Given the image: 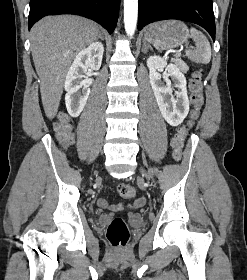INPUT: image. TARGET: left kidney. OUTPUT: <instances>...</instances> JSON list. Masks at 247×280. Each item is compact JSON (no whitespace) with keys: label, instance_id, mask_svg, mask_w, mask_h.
I'll use <instances>...</instances> for the list:
<instances>
[{"label":"left kidney","instance_id":"left-kidney-1","mask_svg":"<svg viewBox=\"0 0 247 280\" xmlns=\"http://www.w3.org/2000/svg\"><path fill=\"white\" fill-rule=\"evenodd\" d=\"M147 66L151 87L163 118L171 126L180 125L189 112L185 76L176 65L167 64L163 58L156 55L147 59ZM164 68L167 76L172 78L173 85L168 79L166 85L161 81V75L158 72L163 71ZM174 87L177 90H174ZM173 91H175L176 98L173 96Z\"/></svg>","mask_w":247,"mask_h":280}]
</instances>
